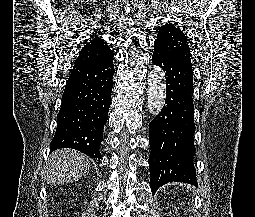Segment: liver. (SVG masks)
<instances>
[{
  "mask_svg": "<svg viewBox=\"0 0 255 217\" xmlns=\"http://www.w3.org/2000/svg\"><path fill=\"white\" fill-rule=\"evenodd\" d=\"M90 167L89 159L72 149H60L51 154L47 164L49 185L64 184L82 177Z\"/></svg>",
  "mask_w": 255,
  "mask_h": 217,
  "instance_id": "liver-1",
  "label": "liver"
}]
</instances>
